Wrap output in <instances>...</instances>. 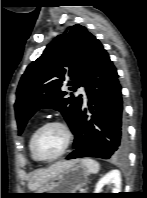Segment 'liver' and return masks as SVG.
Wrapping results in <instances>:
<instances>
[{"mask_svg": "<svg viewBox=\"0 0 147 198\" xmlns=\"http://www.w3.org/2000/svg\"><path fill=\"white\" fill-rule=\"evenodd\" d=\"M76 163L75 160L72 161H59L53 165H51L47 169H40L33 173L29 183L28 188L31 191H36L43 184L56 177L59 173L64 171L65 169L71 167Z\"/></svg>", "mask_w": 147, "mask_h": 198, "instance_id": "obj_1", "label": "liver"}]
</instances>
